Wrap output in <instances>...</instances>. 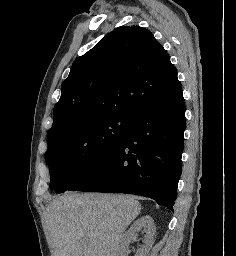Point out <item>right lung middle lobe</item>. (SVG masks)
<instances>
[{
    "label": "right lung middle lobe",
    "instance_id": "right-lung-middle-lobe-1",
    "mask_svg": "<svg viewBox=\"0 0 236 256\" xmlns=\"http://www.w3.org/2000/svg\"><path fill=\"white\" fill-rule=\"evenodd\" d=\"M135 119L108 117L71 125L48 136L50 188L62 193L115 150Z\"/></svg>",
    "mask_w": 236,
    "mask_h": 256
}]
</instances>
